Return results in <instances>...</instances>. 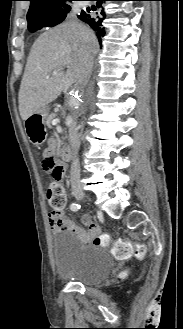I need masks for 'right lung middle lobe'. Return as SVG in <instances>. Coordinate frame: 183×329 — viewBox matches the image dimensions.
Masks as SVG:
<instances>
[{
    "mask_svg": "<svg viewBox=\"0 0 183 329\" xmlns=\"http://www.w3.org/2000/svg\"><path fill=\"white\" fill-rule=\"evenodd\" d=\"M69 3L62 5L60 8H58L57 14L53 19L46 22H32L31 24H28V29L31 32H34L42 29L43 27H47V26L53 27L61 23L65 19L67 13L71 10V6Z\"/></svg>",
    "mask_w": 183,
    "mask_h": 329,
    "instance_id": "obj_1",
    "label": "right lung middle lobe"
}]
</instances>
